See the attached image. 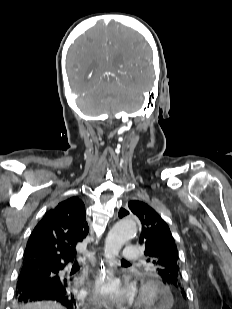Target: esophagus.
Masks as SVG:
<instances>
[{
    "label": "esophagus",
    "mask_w": 232,
    "mask_h": 309,
    "mask_svg": "<svg viewBox=\"0 0 232 309\" xmlns=\"http://www.w3.org/2000/svg\"><path fill=\"white\" fill-rule=\"evenodd\" d=\"M112 274L109 272L108 268L106 267V264H104L103 260L101 259L100 264L96 270L95 274V282H94V289H95V294H94V299L97 302L98 306L103 309H109L107 307L106 301L102 299V297L99 294V289L101 285L108 280V278Z\"/></svg>",
    "instance_id": "34e87169"
}]
</instances>
